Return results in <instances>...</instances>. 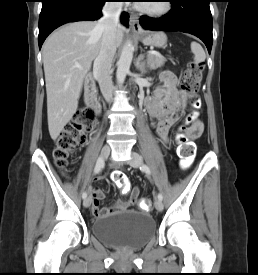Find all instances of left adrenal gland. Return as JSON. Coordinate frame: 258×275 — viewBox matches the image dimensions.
I'll return each mask as SVG.
<instances>
[{
    "mask_svg": "<svg viewBox=\"0 0 258 275\" xmlns=\"http://www.w3.org/2000/svg\"><path fill=\"white\" fill-rule=\"evenodd\" d=\"M144 58V55L141 54L138 59L136 60V63H135V67L138 71H140L141 73H145V69H144V63L142 62Z\"/></svg>",
    "mask_w": 258,
    "mask_h": 275,
    "instance_id": "obj_1",
    "label": "left adrenal gland"
}]
</instances>
